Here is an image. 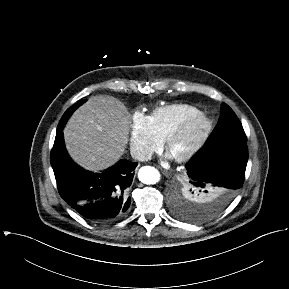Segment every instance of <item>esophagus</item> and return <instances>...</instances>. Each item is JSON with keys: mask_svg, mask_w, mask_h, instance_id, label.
<instances>
[{"mask_svg": "<svg viewBox=\"0 0 289 289\" xmlns=\"http://www.w3.org/2000/svg\"><path fill=\"white\" fill-rule=\"evenodd\" d=\"M162 173L167 177L170 176V172L167 170H163Z\"/></svg>", "mask_w": 289, "mask_h": 289, "instance_id": "esophagus-1", "label": "esophagus"}]
</instances>
